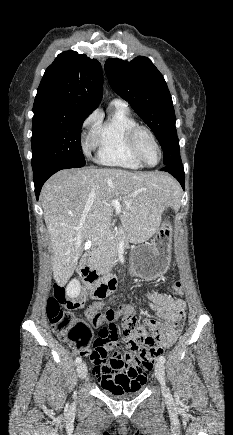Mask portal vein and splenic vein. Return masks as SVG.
I'll use <instances>...</instances> for the list:
<instances>
[{
	"instance_id": "18ae733b",
	"label": "portal vein and splenic vein",
	"mask_w": 233,
	"mask_h": 435,
	"mask_svg": "<svg viewBox=\"0 0 233 435\" xmlns=\"http://www.w3.org/2000/svg\"><path fill=\"white\" fill-rule=\"evenodd\" d=\"M119 200L120 199H114V200H112L110 203H112L113 205H115L116 207H119Z\"/></svg>"
}]
</instances>
